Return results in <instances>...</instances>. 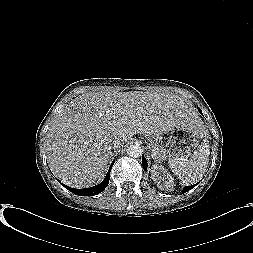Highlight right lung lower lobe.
I'll list each match as a JSON object with an SVG mask.
<instances>
[{
  "instance_id": "98d812e1",
  "label": "right lung lower lobe",
  "mask_w": 253,
  "mask_h": 253,
  "mask_svg": "<svg viewBox=\"0 0 253 253\" xmlns=\"http://www.w3.org/2000/svg\"><path fill=\"white\" fill-rule=\"evenodd\" d=\"M115 161L112 162L110 168H109V171L106 175V177L104 178V180L102 181V183H100L99 185L97 186H94V187H91V188H85V189H74V188H70L64 184H62L64 187H66L68 190H70L71 192H73L74 194H77V195H81V196H92V195H96L100 192H102L106 187L107 185L109 184V179H110V171H111V168L113 166Z\"/></svg>"
}]
</instances>
